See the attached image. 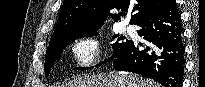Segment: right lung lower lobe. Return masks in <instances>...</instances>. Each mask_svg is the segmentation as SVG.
<instances>
[{
  "label": "right lung lower lobe",
  "instance_id": "right-lung-lower-lobe-1",
  "mask_svg": "<svg viewBox=\"0 0 205 87\" xmlns=\"http://www.w3.org/2000/svg\"><path fill=\"white\" fill-rule=\"evenodd\" d=\"M138 34L150 42L139 50L129 40L113 57V68L153 79L164 87H182L185 66L183 28L176 1L152 13L139 24Z\"/></svg>",
  "mask_w": 205,
  "mask_h": 87
}]
</instances>
